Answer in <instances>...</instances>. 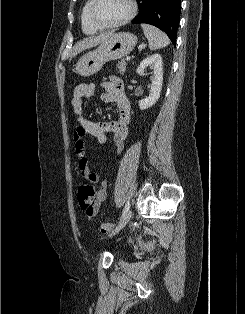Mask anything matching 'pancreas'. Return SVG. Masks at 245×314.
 <instances>
[{
	"instance_id": "obj_1",
	"label": "pancreas",
	"mask_w": 245,
	"mask_h": 314,
	"mask_svg": "<svg viewBox=\"0 0 245 314\" xmlns=\"http://www.w3.org/2000/svg\"><path fill=\"white\" fill-rule=\"evenodd\" d=\"M126 66H127V63H126V61L124 59H121V61L118 62L117 68H118L119 73L121 75H123L125 73Z\"/></svg>"
}]
</instances>
